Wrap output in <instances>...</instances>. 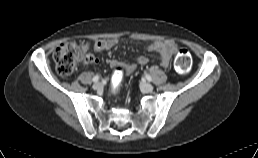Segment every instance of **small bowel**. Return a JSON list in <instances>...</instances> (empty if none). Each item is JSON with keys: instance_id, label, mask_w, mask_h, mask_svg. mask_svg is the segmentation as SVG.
<instances>
[{"instance_id": "1", "label": "small bowel", "mask_w": 258, "mask_h": 158, "mask_svg": "<svg viewBox=\"0 0 258 158\" xmlns=\"http://www.w3.org/2000/svg\"><path fill=\"white\" fill-rule=\"evenodd\" d=\"M117 44H118V41L114 38L96 40L93 43V49L96 52L109 51ZM148 48L151 51H154L158 55L160 64L163 67H167L170 64L172 56L176 52L177 45L171 39L156 40L148 44ZM94 62H96V60ZM148 62H149V59L146 56H139L137 58V63L140 65H146ZM110 64L112 67L117 66V62L114 60H112ZM135 68L136 67L134 64H129L125 67L127 71H134Z\"/></svg>"}]
</instances>
